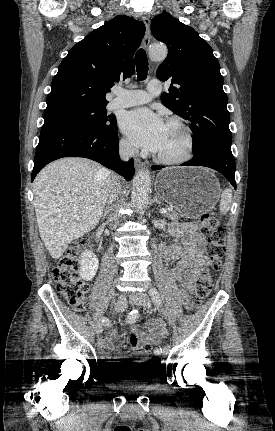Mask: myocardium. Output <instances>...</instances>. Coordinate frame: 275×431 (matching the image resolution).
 <instances>
[{
    "label": "myocardium",
    "instance_id": "myocardium-1",
    "mask_svg": "<svg viewBox=\"0 0 275 431\" xmlns=\"http://www.w3.org/2000/svg\"><path fill=\"white\" fill-rule=\"evenodd\" d=\"M167 124H175L181 129V131L184 135V138H185V149H184L183 153L179 157H176V158H165V157L160 156L159 154H155L154 158L158 163H160L162 165L173 166V165L184 164L192 158L193 153H194L195 141H194V136H193L192 130L184 122L183 119H181L180 117H177V116L170 117L167 120Z\"/></svg>",
    "mask_w": 275,
    "mask_h": 431
}]
</instances>
